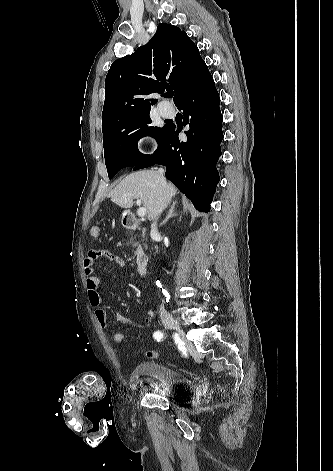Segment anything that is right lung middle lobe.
Wrapping results in <instances>:
<instances>
[{
	"label": "right lung middle lobe",
	"instance_id": "right-lung-middle-lobe-1",
	"mask_svg": "<svg viewBox=\"0 0 333 471\" xmlns=\"http://www.w3.org/2000/svg\"><path fill=\"white\" fill-rule=\"evenodd\" d=\"M150 111L140 113L126 121L118 122L103 131L105 164L109 179L124 167L141 162L147 155L139 152L137 142L144 136H151L159 143L169 125H151Z\"/></svg>",
	"mask_w": 333,
	"mask_h": 471
}]
</instances>
